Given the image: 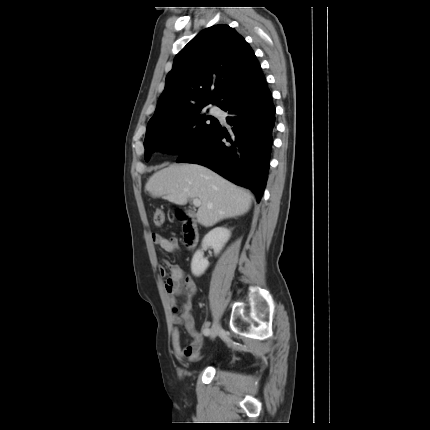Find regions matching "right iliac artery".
Listing matches in <instances>:
<instances>
[{
  "instance_id": "82829eb1",
  "label": "right iliac artery",
  "mask_w": 430,
  "mask_h": 430,
  "mask_svg": "<svg viewBox=\"0 0 430 430\" xmlns=\"http://www.w3.org/2000/svg\"><path fill=\"white\" fill-rule=\"evenodd\" d=\"M204 335L208 336L210 334V329H205L203 331Z\"/></svg>"
}]
</instances>
